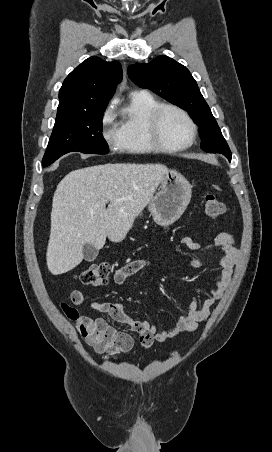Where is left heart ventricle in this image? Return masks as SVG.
Instances as JSON below:
<instances>
[{
	"label": "left heart ventricle",
	"mask_w": 272,
	"mask_h": 452,
	"mask_svg": "<svg viewBox=\"0 0 272 452\" xmlns=\"http://www.w3.org/2000/svg\"><path fill=\"white\" fill-rule=\"evenodd\" d=\"M162 140L170 145H180L190 136V129L184 117L174 110H166L160 120Z\"/></svg>",
	"instance_id": "left-heart-ventricle-1"
}]
</instances>
